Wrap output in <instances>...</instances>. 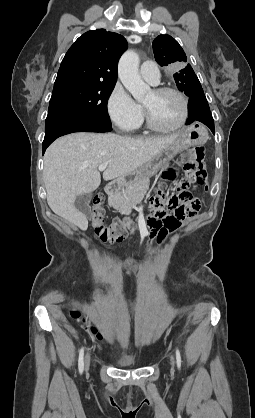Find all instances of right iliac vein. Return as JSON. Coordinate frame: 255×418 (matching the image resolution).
Wrapping results in <instances>:
<instances>
[{
    "mask_svg": "<svg viewBox=\"0 0 255 418\" xmlns=\"http://www.w3.org/2000/svg\"><path fill=\"white\" fill-rule=\"evenodd\" d=\"M90 361H91L90 354H89V353H87V355H86V357H85V368H86V371H88V369H89V366H90Z\"/></svg>",
    "mask_w": 255,
    "mask_h": 418,
    "instance_id": "1",
    "label": "right iliac vein"
}]
</instances>
